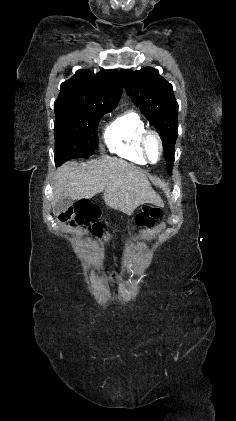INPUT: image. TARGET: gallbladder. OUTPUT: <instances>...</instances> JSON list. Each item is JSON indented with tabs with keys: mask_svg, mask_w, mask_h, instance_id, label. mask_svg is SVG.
<instances>
[{
	"mask_svg": "<svg viewBox=\"0 0 236 421\" xmlns=\"http://www.w3.org/2000/svg\"><path fill=\"white\" fill-rule=\"evenodd\" d=\"M74 198L70 196H59L54 204V213H63L67 211V208L73 204Z\"/></svg>",
	"mask_w": 236,
	"mask_h": 421,
	"instance_id": "obj_1",
	"label": "gallbladder"
}]
</instances>
